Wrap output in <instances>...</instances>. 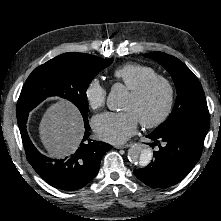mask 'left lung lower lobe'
I'll use <instances>...</instances> for the list:
<instances>
[{
	"label": "left lung lower lobe",
	"mask_w": 221,
	"mask_h": 221,
	"mask_svg": "<svg viewBox=\"0 0 221 221\" xmlns=\"http://www.w3.org/2000/svg\"><path fill=\"white\" fill-rule=\"evenodd\" d=\"M157 145L154 160L145 168L134 170L135 176L153 188L169 187L184 179L198 162L204 144V137L179 132L172 135H161L154 132L147 135ZM151 145V144H150Z\"/></svg>",
	"instance_id": "obj_1"
}]
</instances>
